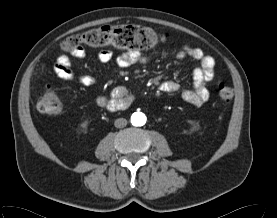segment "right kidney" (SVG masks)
Returning <instances> with one entry per match:
<instances>
[{
  "label": "right kidney",
  "instance_id": "ca27d5eb",
  "mask_svg": "<svg viewBox=\"0 0 277 218\" xmlns=\"http://www.w3.org/2000/svg\"><path fill=\"white\" fill-rule=\"evenodd\" d=\"M88 125V120H85L82 124H81V127L82 128H86Z\"/></svg>",
  "mask_w": 277,
  "mask_h": 218
}]
</instances>
